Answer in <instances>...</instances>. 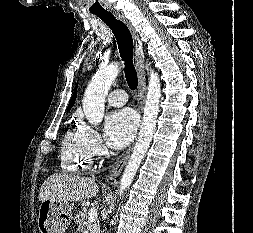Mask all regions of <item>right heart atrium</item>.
<instances>
[{"label":"right heart atrium","mask_w":253,"mask_h":233,"mask_svg":"<svg viewBox=\"0 0 253 233\" xmlns=\"http://www.w3.org/2000/svg\"><path fill=\"white\" fill-rule=\"evenodd\" d=\"M82 129L86 135L92 155L97 157L103 156L106 152V148L101 135L89 126H83Z\"/></svg>","instance_id":"1"}]
</instances>
